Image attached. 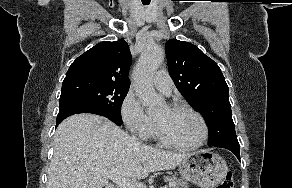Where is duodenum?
<instances>
[{"label":"duodenum","mask_w":292,"mask_h":188,"mask_svg":"<svg viewBox=\"0 0 292 188\" xmlns=\"http://www.w3.org/2000/svg\"><path fill=\"white\" fill-rule=\"evenodd\" d=\"M105 188H111L110 186H107V187H105Z\"/></svg>","instance_id":"410a0bca"}]
</instances>
